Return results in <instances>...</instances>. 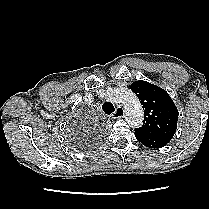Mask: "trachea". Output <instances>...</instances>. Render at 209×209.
<instances>
[{
  "label": "trachea",
  "instance_id": "3493384b",
  "mask_svg": "<svg viewBox=\"0 0 209 209\" xmlns=\"http://www.w3.org/2000/svg\"><path fill=\"white\" fill-rule=\"evenodd\" d=\"M102 110L105 114L110 115L115 111V108L111 102H104L102 105Z\"/></svg>",
  "mask_w": 209,
  "mask_h": 209
}]
</instances>
